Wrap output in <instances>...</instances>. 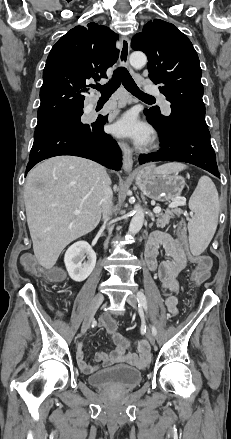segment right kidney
<instances>
[{
  "instance_id": "ca27d5eb",
  "label": "right kidney",
  "mask_w": 231,
  "mask_h": 439,
  "mask_svg": "<svg viewBox=\"0 0 231 439\" xmlns=\"http://www.w3.org/2000/svg\"><path fill=\"white\" fill-rule=\"evenodd\" d=\"M64 262L70 278L76 282H81L95 268L96 253L86 241H78L68 248Z\"/></svg>"
}]
</instances>
